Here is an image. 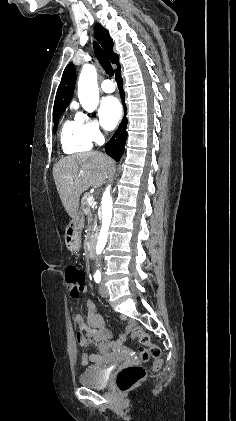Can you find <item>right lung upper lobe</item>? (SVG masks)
<instances>
[{"label":"right lung upper lobe","mask_w":236,"mask_h":421,"mask_svg":"<svg viewBox=\"0 0 236 421\" xmlns=\"http://www.w3.org/2000/svg\"><path fill=\"white\" fill-rule=\"evenodd\" d=\"M94 30L97 40L103 47L111 63L117 65V69L115 70V72L118 71L120 68L119 57L113 52V41L109 36L108 31L101 24H96ZM75 81V68L73 64L70 63L67 65L63 72L62 79L55 98L54 110L66 108L69 105L73 95Z\"/></svg>","instance_id":"right-lung-upper-lobe-1"}]
</instances>
